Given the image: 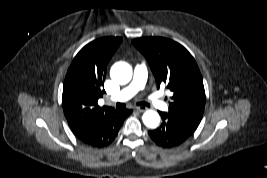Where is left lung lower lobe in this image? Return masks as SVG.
<instances>
[{
    "instance_id": "left-lung-lower-lobe-1",
    "label": "left lung lower lobe",
    "mask_w": 267,
    "mask_h": 178,
    "mask_svg": "<svg viewBox=\"0 0 267 178\" xmlns=\"http://www.w3.org/2000/svg\"><path fill=\"white\" fill-rule=\"evenodd\" d=\"M163 123L155 130L149 131L151 139L163 148L176 147L185 142L192 134L186 131L177 121L159 112Z\"/></svg>"
}]
</instances>
